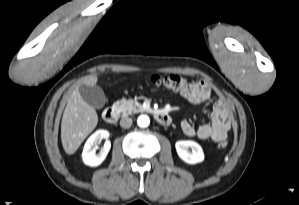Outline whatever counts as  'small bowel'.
I'll use <instances>...</instances> for the list:
<instances>
[{"label":"small bowel","instance_id":"obj_1","mask_svg":"<svg viewBox=\"0 0 299 205\" xmlns=\"http://www.w3.org/2000/svg\"><path fill=\"white\" fill-rule=\"evenodd\" d=\"M181 96L194 104L209 101L212 98L211 87L204 81H196L190 87L180 91ZM182 132L188 136H196L201 140L211 139L219 142L226 139L230 129L229 111L222 100H217L213 104L210 122L194 127L189 121L181 122Z\"/></svg>","mask_w":299,"mask_h":205}]
</instances>
